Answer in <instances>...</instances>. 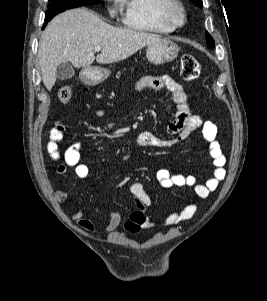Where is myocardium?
<instances>
[{
	"label": "myocardium",
	"instance_id": "obj_1",
	"mask_svg": "<svg viewBox=\"0 0 267 301\" xmlns=\"http://www.w3.org/2000/svg\"><path fill=\"white\" fill-rule=\"evenodd\" d=\"M163 14L176 27L186 22V9L180 0H167L163 7Z\"/></svg>",
	"mask_w": 267,
	"mask_h": 301
}]
</instances>
